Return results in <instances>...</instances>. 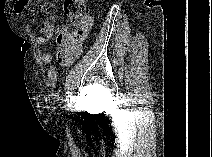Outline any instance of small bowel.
Segmentation results:
<instances>
[{
	"instance_id": "small-bowel-1",
	"label": "small bowel",
	"mask_w": 212,
	"mask_h": 157,
	"mask_svg": "<svg viewBox=\"0 0 212 157\" xmlns=\"http://www.w3.org/2000/svg\"><path fill=\"white\" fill-rule=\"evenodd\" d=\"M28 0H13V9L16 14H23L27 10ZM92 26V18L90 16H85L82 23L74 31L79 33V36L71 37L67 35L64 41L59 40L61 35H66L69 33L66 29L59 30L56 38L57 49L56 58L58 63L65 68L70 67L75 59H77L82 51V44L84 39L87 37ZM41 33L42 35L36 38V44L38 46L46 45L51 40L54 34V26L49 21H43L41 23ZM41 63L43 65L49 66L47 72V81L50 85H56L58 83V74L55 67L52 65L53 56L50 53L41 54Z\"/></svg>"
}]
</instances>
